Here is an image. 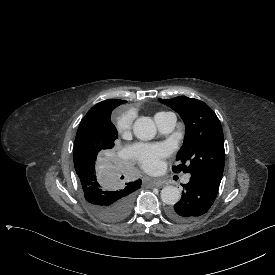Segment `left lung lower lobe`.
<instances>
[{
    "instance_id": "obj_1",
    "label": "left lung lower lobe",
    "mask_w": 275,
    "mask_h": 275,
    "mask_svg": "<svg viewBox=\"0 0 275 275\" xmlns=\"http://www.w3.org/2000/svg\"><path fill=\"white\" fill-rule=\"evenodd\" d=\"M221 178L207 174H191L189 183L182 185L180 201L167 209V215L174 221L185 222L205 214L213 204Z\"/></svg>"
}]
</instances>
